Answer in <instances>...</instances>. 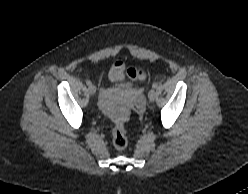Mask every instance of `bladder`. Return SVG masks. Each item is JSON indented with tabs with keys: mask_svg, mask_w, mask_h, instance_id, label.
<instances>
[{
	"mask_svg": "<svg viewBox=\"0 0 248 194\" xmlns=\"http://www.w3.org/2000/svg\"><path fill=\"white\" fill-rule=\"evenodd\" d=\"M128 88H130L129 85H123V86L119 87V89H128Z\"/></svg>",
	"mask_w": 248,
	"mask_h": 194,
	"instance_id": "obj_1",
	"label": "bladder"
}]
</instances>
